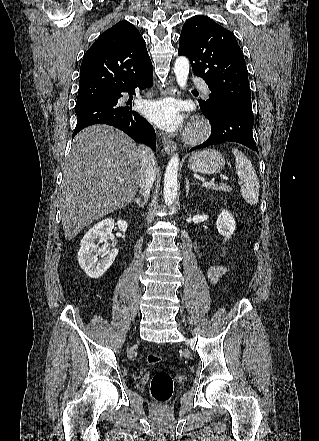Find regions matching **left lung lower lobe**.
<instances>
[{"mask_svg":"<svg viewBox=\"0 0 319 441\" xmlns=\"http://www.w3.org/2000/svg\"><path fill=\"white\" fill-rule=\"evenodd\" d=\"M199 104L202 113L211 123L212 133L207 141L193 147L191 151L225 142H236L258 153L252 132L253 116L228 105L207 108L204 104Z\"/></svg>","mask_w":319,"mask_h":441,"instance_id":"1","label":"left lung lower lobe"}]
</instances>
